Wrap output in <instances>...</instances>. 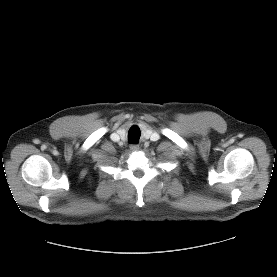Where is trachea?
I'll return each mask as SVG.
<instances>
[{
	"mask_svg": "<svg viewBox=\"0 0 277 277\" xmlns=\"http://www.w3.org/2000/svg\"><path fill=\"white\" fill-rule=\"evenodd\" d=\"M140 137V130L137 127H132L128 132V142L136 143Z\"/></svg>",
	"mask_w": 277,
	"mask_h": 277,
	"instance_id": "trachea-1",
	"label": "trachea"
}]
</instances>
